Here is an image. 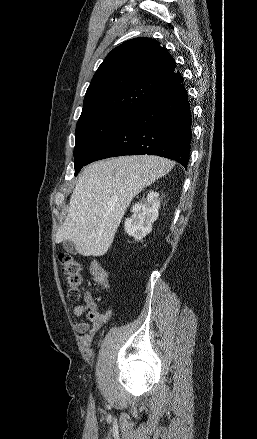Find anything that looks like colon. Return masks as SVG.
<instances>
[{
  "label": "colon",
  "mask_w": 257,
  "mask_h": 439,
  "mask_svg": "<svg viewBox=\"0 0 257 439\" xmlns=\"http://www.w3.org/2000/svg\"><path fill=\"white\" fill-rule=\"evenodd\" d=\"M58 262L60 273L66 286L67 299L73 303L78 302L82 297V264L67 253L59 254ZM91 272L99 286L103 288L108 287V275L99 262L94 261L92 263Z\"/></svg>",
  "instance_id": "5ec220e1"
}]
</instances>
